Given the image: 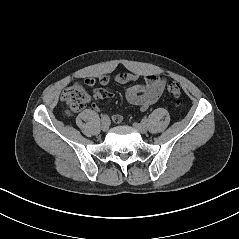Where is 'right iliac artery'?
I'll use <instances>...</instances> for the list:
<instances>
[{"mask_svg":"<svg viewBox=\"0 0 239 239\" xmlns=\"http://www.w3.org/2000/svg\"><path fill=\"white\" fill-rule=\"evenodd\" d=\"M108 121H109L108 115H102V117H101V122H102V123H105V122H108Z\"/></svg>","mask_w":239,"mask_h":239,"instance_id":"obj_1","label":"right iliac artery"}]
</instances>
